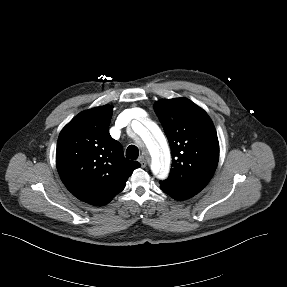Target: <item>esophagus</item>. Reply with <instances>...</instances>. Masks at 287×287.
Instances as JSON below:
<instances>
[{"mask_svg":"<svg viewBox=\"0 0 287 287\" xmlns=\"http://www.w3.org/2000/svg\"><path fill=\"white\" fill-rule=\"evenodd\" d=\"M139 162H140L142 168H145V167H146L147 161H146V159H145L144 156H141V157L139 158Z\"/></svg>","mask_w":287,"mask_h":287,"instance_id":"1","label":"esophagus"}]
</instances>
